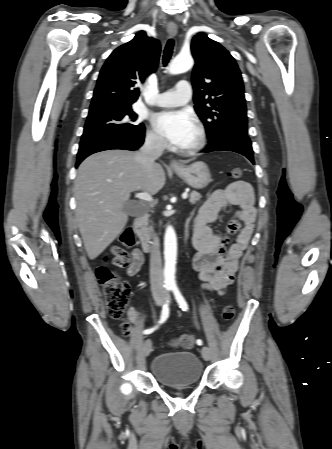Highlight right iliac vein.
<instances>
[{"label": "right iliac vein", "instance_id": "obj_1", "mask_svg": "<svg viewBox=\"0 0 332 449\" xmlns=\"http://www.w3.org/2000/svg\"><path fill=\"white\" fill-rule=\"evenodd\" d=\"M155 300H156V304L157 305H162L163 304V297L162 296H157ZM151 350H152V342H151L150 339H147L144 342V345H143V353H144V355L148 356L150 354Z\"/></svg>", "mask_w": 332, "mask_h": 449}]
</instances>
